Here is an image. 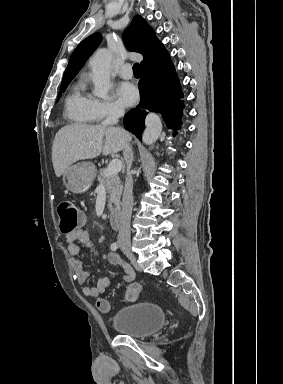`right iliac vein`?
Segmentation results:
<instances>
[{
  "label": "right iliac vein",
  "mask_w": 283,
  "mask_h": 384,
  "mask_svg": "<svg viewBox=\"0 0 283 384\" xmlns=\"http://www.w3.org/2000/svg\"><path fill=\"white\" fill-rule=\"evenodd\" d=\"M123 253L130 259V261L137 267L136 257L129 247H122Z\"/></svg>",
  "instance_id": "obj_1"
}]
</instances>
